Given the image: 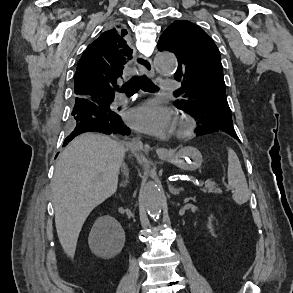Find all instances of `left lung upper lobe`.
<instances>
[{
  "mask_svg": "<svg viewBox=\"0 0 293 293\" xmlns=\"http://www.w3.org/2000/svg\"><path fill=\"white\" fill-rule=\"evenodd\" d=\"M160 50L175 53L178 69L174 75L182 87L174 105L196 116L203 126H232L221 56L214 41L196 24L174 21L161 35Z\"/></svg>",
  "mask_w": 293,
  "mask_h": 293,
  "instance_id": "obj_1",
  "label": "left lung upper lobe"
}]
</instances>
